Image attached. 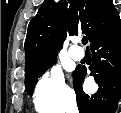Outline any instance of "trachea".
I'll return each instance as SVG.
<instances>
[{
  "mask_svg": "<svg viewBox=\"0 0 121 113\" xmlns=\"http://www.w3.org/2000/svg\"><path fill=\"white\" fill-rule=\"evenodd\" d=\"M82 43L83 44H87L88 43V38L87 37H83L82 38Z\"/></svg>",
  "mask_w": 121,
  "mask_h": 113,
  "instance_id": "3493384b",
  "label": "trachea"
}]
</instances>
